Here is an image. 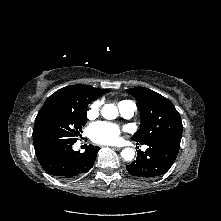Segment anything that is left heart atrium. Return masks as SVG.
Instances as JSON below:
<instances>
[{
	"label": "left heart atrium",
	"mask_w": 221,
	"mask_h": 221,
	"mask_svg": "<svg viewBox=\"0 0 221 221\" xmlns=\"http://www.w3.org/2000/svg\"><path fill=\"white\" fill-rule=\"evenodd\" d=\"M89 133L96 143L113 144L119 138L120 128L115 124L101 121L91 125Z\"/></svg>",
	"instance_id": "1"
}]
</instances>
